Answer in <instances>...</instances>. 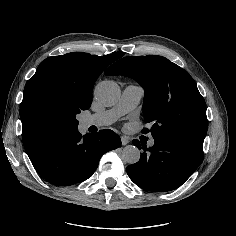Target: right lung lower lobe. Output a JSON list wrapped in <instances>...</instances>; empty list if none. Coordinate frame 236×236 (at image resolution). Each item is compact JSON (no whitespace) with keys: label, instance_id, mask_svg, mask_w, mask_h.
Wrapping results in <instances>:
<instances>
[{"label":"right lung lower lobe","instance_id":"98d812e1","mask_svg":"<svg viewBox=\"0 0 236 236\" xmlns=\"http://www.w3.org/2000/svg\"><path fill=\"white\" fill-rule=\"evenodd\" d=\"M120 145V137L112 130L84 136L77 130L50 142L31 161L46 181L68 186L88 179L97 169L101 156Z\"/></svg>","mask_w":236,"mask_h":236}]
</instances>
